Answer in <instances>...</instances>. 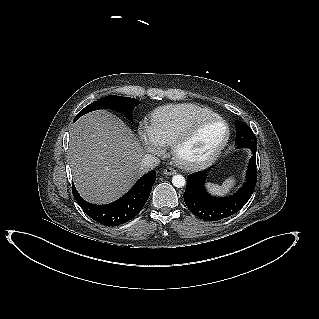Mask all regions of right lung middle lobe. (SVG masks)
Here are the masks:
<instances>
[{
    "label": "right lung middle lobe",
    "instance_id": "1",
    "mask_svg": "<svg viewBox=\"0 0 319 319\" xmlns=\"http://www.w3.org/2000/svg\"><path fill=\"white\" fill-rule=\"evenodd\" d=\"M140 103L139 100L130 97H121L116 95H108L103 97L82 109L75 117L76 121L82 115L103 108H110L130 116L133 109Z\"/></svg>",
    "mask_w": 319,
    "mask_h": 319
}]
</instances>
